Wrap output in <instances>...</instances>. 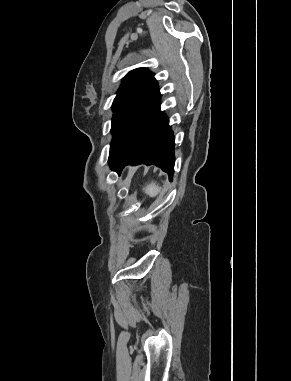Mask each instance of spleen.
<instances>
[{"label":"spleen","instance_id":"1","mask_svg":"<svg viewBox=\"0 0 291 381\" xmlns=\"http://www.w3.org/2000/svg\"><path fill=\"white\" fill-rule=\"evenodd\" d=\"M143 191L149 197H156L161 192V187L155 182H151L143 188Z\"/></svg>","mask_w":291,"mask_h":381}]
</instances>
